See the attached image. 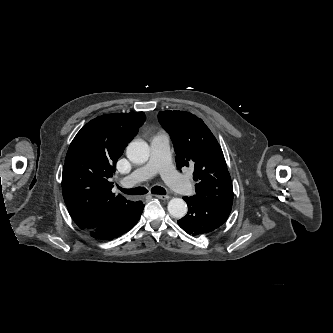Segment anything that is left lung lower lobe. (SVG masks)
Segmentation results:
<instances>
[{
    "mask_svg": "<svg viewBox=\"0 0 333 333\" xmlns=\"http://www.w3.org/2000/svg\"><path fill=\"white\" fill-rule=\"evenodd\" d=\"M183 199L188 205V213L178 220V224L192 236L207 234L219 228L231 212V208L211 205L196 196Z\"/></svg>",
    "mask_w": 333,
    "mask_h": 333,
    "instance_id": "obj_1",
    "label": "left lung lower lobe"
}]
</instances>
